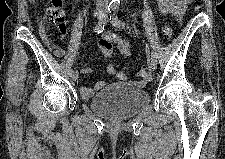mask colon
<instances>
[{
  "mask_svg": "<svg viewBox=\"0 0 225 159\" xmlns=\"http://www.w3.org/2000/svg\"><path fill=\"white\" fill-rule=\"evenodd\" d=\"M46 18L50 23L57 26L58 28H65L64 27L65 12L62 5V0L51 1L50 5L48 6L46 10ZM162 31L165 38L171 37L172 28L169 25H165ZM101 51L106 59L111 60L112 58L111 47L105 46L102 48ZM138 77L141 79L142 82L150 81L151 74H150L149 68L147 66H143L138 72Z\"/></svg>",
  "mask_w": 225,
  "mask_h": 159,
  "instance_id": "5ec220e1",
  "label": "colon"
}]
</instances>
